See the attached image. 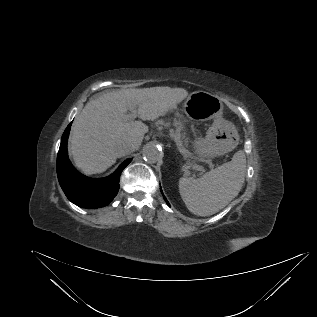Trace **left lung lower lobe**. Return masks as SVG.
<instances>
[{"instance_id":"1","label":"left lung lower lobe","mask_w":317,"mask_h":317,"mask_svg":"<svg viewBox=\"0 0 317 317\" xmlns=\"http://www.w3.org/2000/svg\"><path fill=\"white\" fill-rule=\"evenodd\" d=\"M161 192H162V189L160 188ZM164 196V195H163ZM164 200L166 201V203L170 206L169 202L167 201L166 197L164 196Z\"/></svg>"}]
</instances>
